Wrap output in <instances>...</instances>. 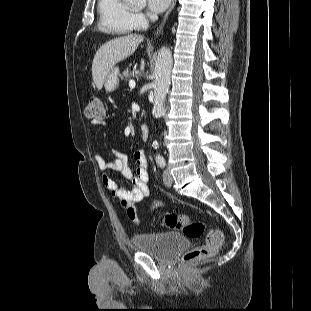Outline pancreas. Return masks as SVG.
<instances>
[{"label":"pancreas","mask_w":311,"mask_h":311,"mask_svg":"<svg viewBox=\"0 0 311 311\" xmlns=\"http://www.w3.org/2000/svg\"><path fill=\"white\" fill-rule=\"evenodd\" d=\"M132 71H130V69L129 68H127V69H125L123 72H122V74H120V78H121V80H125V81H127V80H129L131 77H132Z\"/></svg>","instance_id":"cf45deb5"}]
</instances>
